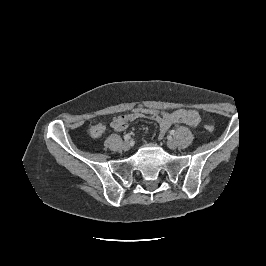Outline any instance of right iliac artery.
<instances>
[{
    "mask_svg": "<svg viewBox=\"0 0 266 266\" xmlns=\"http://www.w3.org/2000/svg\"><path fill=\"white\" fill-rule=\"evenodd\" d=\"M131 136L129 134L124 135V140H129Z\"/></svg>",
    "mask_w": 266,
    "mask_h": 266,
    "instance_id": "right-iliac-artery-1",
    "label": "right iliac artery"
}]
</instances>
